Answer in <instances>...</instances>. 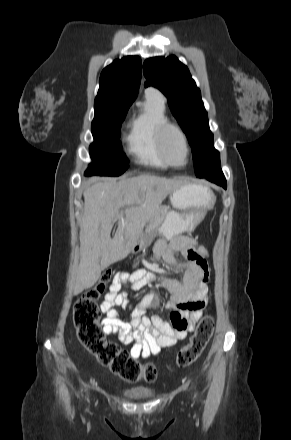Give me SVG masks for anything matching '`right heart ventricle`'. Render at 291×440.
I'll use <instances>...</instances> for the list:
<instances>
[{"label":"right heart ventricle","mask_w":291,"mask_h":440,"mask_svg":"<svg viewBox=\"0 0 291 440\" xmlns=\"http://www.w3.org/2000/svg\"><path fill=\"white\" fill-rule=\"evenodd\" d=\"M145 98L143 110L130 120L126 152L137 164L165 168L156 135L159 126L167 122L165 100L153 92H146Z\"/></svg>","instance_id":"obj_1"}]
</instances>
